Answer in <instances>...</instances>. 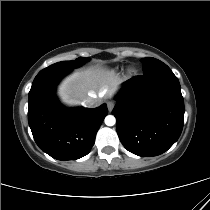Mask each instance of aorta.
Instances as JSON below:
<instances>
[{
	"instance_id": "1",
	"label": "aorta",
	"mask_w": 210,
	"mask_h": 210,
	"mask_svg": "<svg viewBox=\"0 0 210 210\" xmlns=\"http://www.w3.org/2000/svg\"><path fill=\"white\" fill-rule=\"evenodd\" d=\"M116 123V119L113 115H108L105 117V124L107 126H113Z\"/></svg>"
}]
</instances>
